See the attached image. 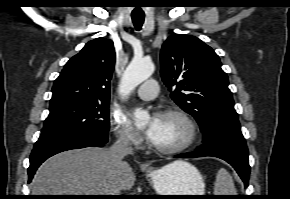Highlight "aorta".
Segmentation results:
<instances>
[{"instance_id": "aorta-1", "label": "aorta", "mask_w": 290, "mask_h": 199, "mask_svg": "<svg viewBox=\"0 0 290 199\" xmlns=\"http://www.w3.org/2000/svg\"><path fill=\"white\" fill-rule=\"evenodd\" d=\"M155 66L151 61L144 59H133L127 66L122 81L120 84L119 92L125 97L135 89L139 84L147 80L154 72ZM149 114L143 110H136L134 113V124L136 127L141 128L147 124Z\"/></svg>"}]
</instances>
